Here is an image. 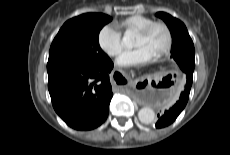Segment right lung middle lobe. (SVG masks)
Instances as JSON below:
<instances>
[{"mask_svg":"<svg viewBox=\"0 0 230 155\" xmlns=\"http://www.w3.org/2000/svg\"><path fill=\"white\" fill-rule=\"evenodd\" d=\"M112 18L93 13L78 20H68L54 38L47 70L61 66H99L110 60L99 46V32Z\"/></svg>","mask_w":230,"mask_h":155,"instance_id":"obj_1","label":"right lung middle lobe"}]
</instances>
